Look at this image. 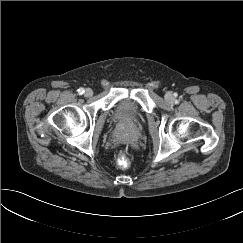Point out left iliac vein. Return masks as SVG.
<instances>
[{"label": "left iliac vein", "instance_id": "1", "mask_svg": "<svg viewBox=\"0 0 243 243\" xmlns=\"http://www.w3.org/2000/svg\"><path fill=\"white\" fill-rule=\"evenodd\" d=\"M165 99H166L167 102H172L173 97H172L171 94H167V95L165 96Z\"/></svg>", "mask_w": 243, "mask_h": 243}]
</instances>
